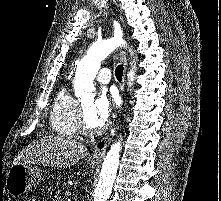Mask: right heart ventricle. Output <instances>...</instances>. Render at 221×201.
<instances>
[{"instance_id":"right-heart-ventricle-1","label":"right heart ventricle","mask_w":221,"mask_h":201,"mask_svg":"<svg viewBox=\"0 0 221 201\" xmlns=\"http://www.w3.org/2000/svg\"><path fill=\"white\" fill-rule=\"evenodd\" d=\"M78 107L77 99L68 89L63 88L57 93L50 113V124L55 133L68 138L79 133Z\"/></svg>"}]
</instances>
